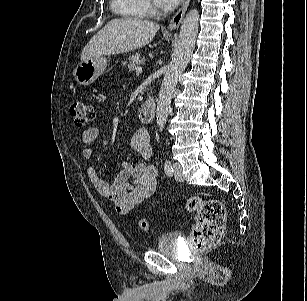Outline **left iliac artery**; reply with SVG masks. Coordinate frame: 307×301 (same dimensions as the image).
Segmentation results:
<instances>
[{"instance_id":"1","label":"left iliac artery","mask_w":307,"mask_h":301,"mask_svg":"<svg viewBox=\"0 0 307 301\" xmlns=\"http://www.w3.org/2000/svg\"><path fill=\"white\" fill-rule=\"evenodd\" d=\"M164 171H165L166 175L172 176L173 167H172L171 162L168 159H166L165 162H164Z\"/></svg>"}]
</instances>
